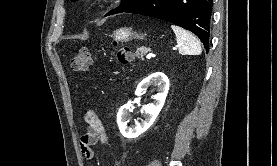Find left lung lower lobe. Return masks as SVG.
Returning a JSON list of instances; mask_svg holds the SVG:
<instances>
[{"label":"left lung lower lobe","mask_w":277,"mask_h":166,"mask_svg":"<svg viewBox=\"0 0 277 166\" xmlns=\"http://www.w3.org/2000/svg\"><path fill=\"white\" fill-rule=\"evenodd\" d=\"M161 19L195 33L208 52L212 0H142L124 11Z\"/></svg>","instance_id":"1"}]
</instances>
